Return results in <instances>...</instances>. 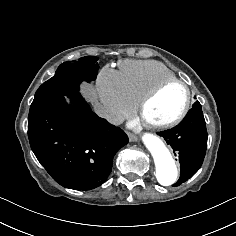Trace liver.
<instances>
[{
	"mask_svg": "<svg viewBox=\"0 0 236 236\" xmlns=\"http://www.w3.org/2000/svg\"><path fill=\"white\" fill-rule=\"evenodd\" d=\"M81 93L89 102L94 103L97 101V95L93 85L83 84L81 87Z\"/></svg>",
	"mask_w": 236,
	"mask_h": 236,
	"instance_id": "6515ba94",
	"label": "liver"
}]
</instances>
